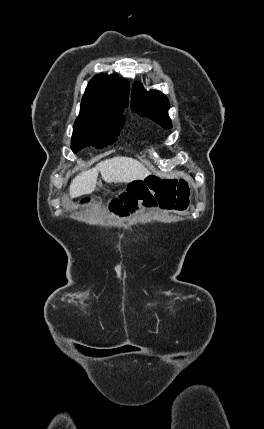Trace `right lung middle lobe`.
I'll return each mask as SVG.
<instances>
[{
  "label": "right lung middle lobe",
  "mask_w": 264,
  "mask_h": 429,
  "mask_svg": "<svg viewBox=\"0 0 264 429\" xmlns=\"http://www.w3.org/2000/svg\"><path fill=\"white\" fill-rule=\"evenodd\" d=\"M128 105L81 104L75 121L71 149L77 153L87 146L102 148L112 144L120 132Z\"/></svg>",
  "instance_id": "1"
}]
</instances>
